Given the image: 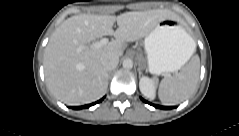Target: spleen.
<instances>
[{
  "label": "spleen",
  "mask_w": 239,
  "mask_h": 136,
  "mask_svg": "<svg viewBox=\"0 0 239 136\" xmlns=\"http://www.w3.org/2000/svg\"><path fill=\"white\" fill-rule=\"evenodd\" d=\"M194 50L195 43L192 40L191 55ZM199 74L200 60L195 56L178 74L166 76L160 82L158 90L160 101L164 105H175L187 99L197 87Z\"/></svg>",
  "instance_id": "3e777b00"
}]
</instances>
